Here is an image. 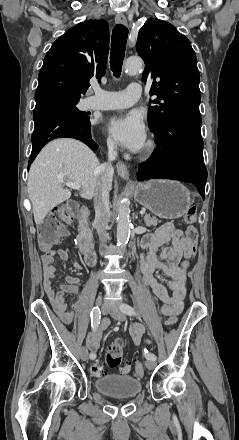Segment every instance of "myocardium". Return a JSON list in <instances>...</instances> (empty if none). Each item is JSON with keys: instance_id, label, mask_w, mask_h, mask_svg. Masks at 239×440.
<instances>
[{"instance_id": "obj_1", "label": "myocardium", "mask_w": 239, "mask_h": 440, "mask_svg": "<svg viewBox=\"0 0 239 440\" xmlns=\"http://www.w3.org/2000/svg\"><path fill=\"white\" fill-rule=\"evenodd\" d=\"M156 149H157V146H156L155 141L149 140L141 153V158L148 159V158L152 157L154 155Z\"/></svg>"}]
</instances>
